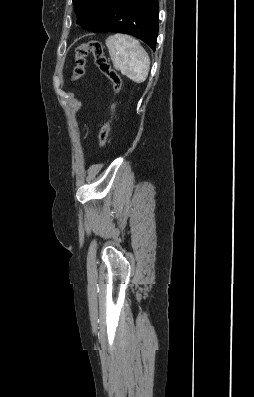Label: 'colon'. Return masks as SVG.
I'll list each match as a JSON object with an SVG mask.
<instances>
[{
  "instance_id": "obj_1",
  "label": "colon",
  "mask_w": 254,
  "mask_h": 397,
  "mask_svg": "<svg viewBox=\"0 0 254 397\" xmlns=\"http://www.w3.org/2000/svg\"><path fill=\"white\" fill-rule=\"evenodd\" d=\"M93 55L95 64L99 70L104 74L112 83L113 91L119 94L122 87V79L120 75L111 67L107 57L104 54L103 45L97 40H91L79 45L75 51V67L73 69V80H78L85 74L86 59L88 55ZM118 102L112 103L110 108V118L103 124L100 129L98 137V145L103 149L108 143L111 125L113 123L115 109Z\"/></svg>"
}]
</instances>
